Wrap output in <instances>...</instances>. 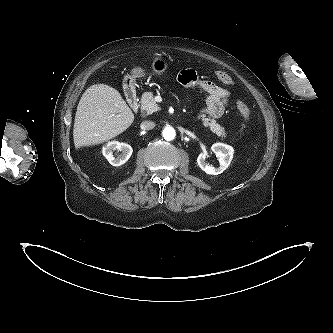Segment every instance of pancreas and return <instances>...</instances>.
<instances>
[{
  "instance_id": "pancreas-1",
  "label": "pancreas",
  "mask_w": 333,
  "mask_h": 333,
  "mask_svg": "<svg viewBox=\"0 0 333 333\" xmlns=\"http://www.w3.org/2000/svg\"><path fill=\"white\" fill-rule=\"evenodd\" d=\"M141 109L143 115H149L153 112L158 111L159 107L154 100V95L152 92H145L141 98ZM199 118L202 117V122L205 127H209L210 130L215 133L217 136L226 138L227 134L222 126H220L214 119L206 118L204 115H199Z\"/></svg>"
}]
</instances>
